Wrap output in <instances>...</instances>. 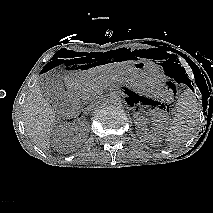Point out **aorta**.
<instances>
[{
  "instance_id": "obj_1",
  "label": "aorta",
  "mask_w": 213,
  "mask_h": 213,
  "mask_svg": "<svg viewBox=\"0 0 213 213\" xmlns=\"http://www.w3.org/2000/svg\"><path fill=\"white\" fill-rule=\"evenodd\" d=\"M107 103L112 107H120L122 105V98L119 94L113 93L107 99Z\"/></svg>"
}]
</instances>
